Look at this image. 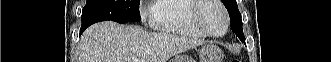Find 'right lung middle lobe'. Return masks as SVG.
Returning a JSON list of instances; mask_svg holds the SVG:
<instances>
[{
	"label": "right lung middle lobe",
	"mask_w": 331,
	"mask_h": 62,
	"mask_svg": "<svg viewBox=\"0 0 331 62\" xmlns=\"http://www.w3.org/2000/svg\"><path fill=\"white\" fill-rule=\"evenodd\" d=\"M138 0H87L82 10L81 32L93 23L112 20L118 23L140 21Z\"/></svg>",
	"instance_id": "1"
}]
</instances>
